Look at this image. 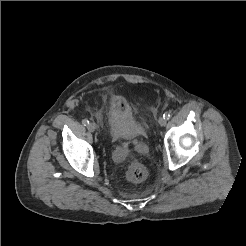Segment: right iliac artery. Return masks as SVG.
Returning a JSON list of instances; mask_svg holds the SVG:
<instances>
[{
  "label": "right iliac artery",
  "instance_id": "obj_1",
  "mask_svg": "<svg viewBox=\"0 0 246 246\" xmlns=\"http://www.w3.org/2000/svg\"><path fill=\"white\" fill-rule=\"evenodd\" d=\"M82 124H83L84 126H87V125L89 124V121H88L87 119H83V120H82Z\"/></svg>",
  "mask_w": 246,
  "mask_h": 246
}]
</instances>
